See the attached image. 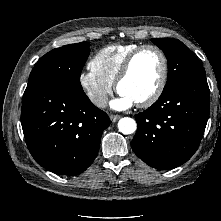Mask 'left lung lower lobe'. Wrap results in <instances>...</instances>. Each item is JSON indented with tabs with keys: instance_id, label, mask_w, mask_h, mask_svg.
Segmentation results:
<instances>
[{
	"instance_id": "1",
	"label": "left lung lower lobe",
	"mask_w": 221,
	"mask_h": 221,
	"mask_svg": "<svg viewBox=\"0 0 221 221\" xmlns=\"http://www.w3.org/2000/svg\"><path fill=\"white\" fill-rule=\"evenodd\" d=\"M210 91L205 75H196L163 91L147 110L135 116L131 142L135 154L149 166L176 168L196 152L209 117Z\"/></svg>"
}]
</instances>
